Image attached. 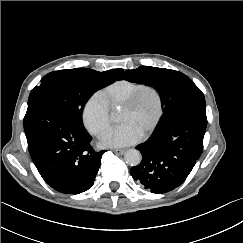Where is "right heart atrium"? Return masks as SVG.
Returning a JSON list of instances; mask_svg holds the SVG:
<instances>
[{"label": "right heart atrium", "mask_w": 243, "mask_h": 243, "mask_svg": "<svg viewBox=\"0 0 243 243\" xmlns=\"http://www.w3.org/2000/svg\"><path fill=\"white\" fill-rule=\"evenodd\" d=\"M82 120L88 132L94 136H101L110 125L109 106L101 93L90 96L82 110Z\"/></svg>", "instance_id": "obj_1"}]
</instances>
